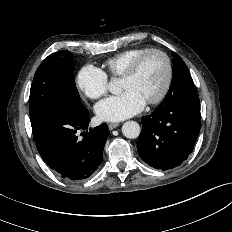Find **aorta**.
Returning a JSON list of instances; mask_svg holds the SVG:
<instances>
[{"label":"aorta","instance_id":"aorta-1","mask_svg":"<svg viewBox=\"0 0 232 232\" xmlns=\"http://www.w3.org/2000/svg\"><path fill=\"white\" fill-rule=\"evenodd\" d=\"M109 91L113 94L120 92V85L116 79L111 80L109 83ZM122 133L129 139L137 138L140 134V126L135 121H127L122 126Z\"/></svg>","mask_w":232,"mask_h":232}]
</instances>
